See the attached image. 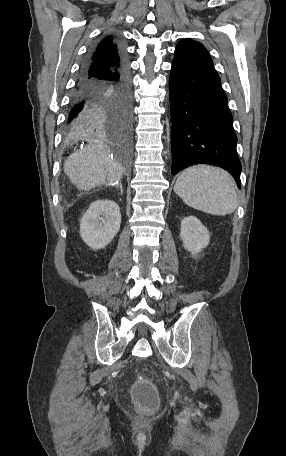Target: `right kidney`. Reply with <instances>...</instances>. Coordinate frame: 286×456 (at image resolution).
<instances>
[{
  "instance_id": "obj_1",
  "label": "right kidney",
  "mask_w": 286,
  "mask_h": 456,
  "mask_svg": "<svg viewBox=\"0 0 286 456\" xmlns=\"http://www.w3.org/2000/svg\"><path fill=\"white\" fill-rule=\"evenodd\" d=\"M121 214L112 200L94 201L80 221V235L93 250L106 247L118 233Z\"/></svg>"
}]
</instances>
